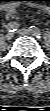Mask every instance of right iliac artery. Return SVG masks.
I'll list each match as a JSON object with an SVG mask.
<instances>
[{"label": "right iliac artery", "instance_id": "right-iliac-artery-1", "mask_svg": "<svg viewBox=\"0 0 50 111\" xmlns=\"http://www.w3.org/2000/svg\"><path fill=\"white\" fill-rule=\"evenodd\" d=\"M19 27V24L17 22H11L7 25V30L9 32H14L18 29Z\"/></svg>", "mask_w": 50, "mask_h": 111}]
</instances>
